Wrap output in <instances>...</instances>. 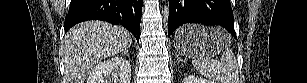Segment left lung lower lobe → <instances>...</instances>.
Here are the masks:
<instances>
[{
    "mask_svg": "<svg viewBox=\"0 0 307 83\" xmlns=\"http://www.w3.org/2000/svg\"><path fill=\"white\" fill-rule=\"evenodd\" d=\"M185 23L220 25L236 38L230 0H170L168 35Z\"/></svg>",
    "mask_w": 307,
    "mask_h": 83,
    "instance_id": "0a47b994",
    "label": "left lung lower lobe"
}]
</instances>
